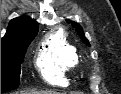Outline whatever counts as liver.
I'll return each instance as SVG.
<instances>
[{"instance_id": "6515ba94", "label": "liver", "mask_w": 121, "mask_h": 94, "mask_svg": "<svg viewBox=\"0 0 121 94\" xmlns=\"http://www.w3.org/2000/svg\"><path fill=\"white\" fill-rule=\"evenodd\" d=\"M44 94H56V93H54V92H45Z\"/></svg>"}]
</instances>
